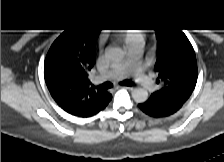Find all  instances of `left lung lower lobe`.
Masks as SVG:
<instances>
[{
	"mask_svg": "<svg viewBox=\"0 0 224 162\" xmlns=\"http://www.w3.org/2000/svg\"><path fill=\"white\" fill-rule=\"evenodd\" d=\"M138 106L143 112L150 116L164 117L175 113L181 108L182 104L147 100Z\"/></svg>",
	"mask_w": 224,
	"mask_h": 162,
	"instance_id": "obj_1",
	"label": "left lung lower lobe"
}]
</instances>
